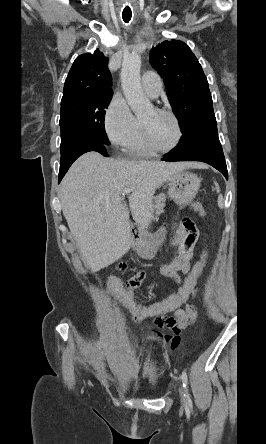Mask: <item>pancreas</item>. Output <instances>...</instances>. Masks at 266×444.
<instances>
[{"label":"pancreas","mask_w":266,"mask_h":444,"mask_svg":"<svg viewBox=\"0 0 266 444\" xmlns=\"http://www.w3.org/2000/svg\"><path fill=\"white\" fill-rule=\"evenodd\" d=\"M165 201H166V197L163 194H161L155 198V202L152 205V209L155 210L156 216H159L160 214H162L164 212Z\"/></svg>","instance_id":"cf45deb5"}]
</instances>
